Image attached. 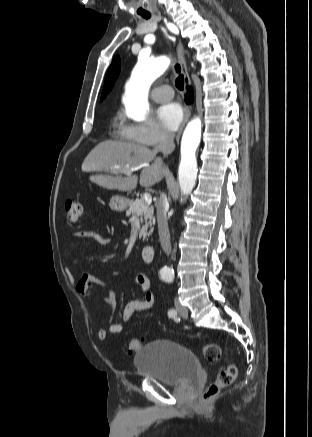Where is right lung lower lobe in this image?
<instances>
[{"label":"right lung lower lobe","mask_w":312,"mask_h":437,"mask_svg":"<svg viewBox=\"0 0 312 437\" xmlns=\"http://www.w3.org/2000/svg\"><path fill=\"white\" fill-rule=\"evenodd\" d=\"M186 101H187V103H191V101H192V94L190 92L187 94Z\"/></svg>","instance_id":"right-lung-lower-lobe-1"}]
</instances>
